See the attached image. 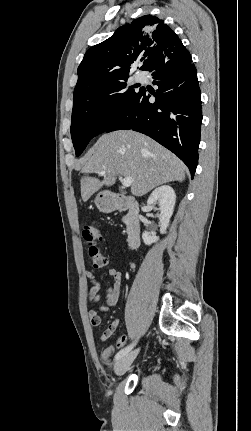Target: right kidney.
<instances>
[{"label": "right kidney", "instance_id": "ca27d5eb", "mask_svg": "<svg viewBox=\"0 0 251 431\" xmlns=\"http://www.w3.org/2000/svg\"><path fill=\"white\" fill-rule=\"evenodd\" d=\"M176 202V194L172 187L168 185L160 186L156 188L147 200L148 205H159L160 215L159 220L161 223L160 233H166L169 226L170 218L174 211ZM142 239L146 245H151L158 241V237L151 236L148 232H143Z\"/></svg>", "mask_w": 251, "mask_h": 431}]
</instances>
